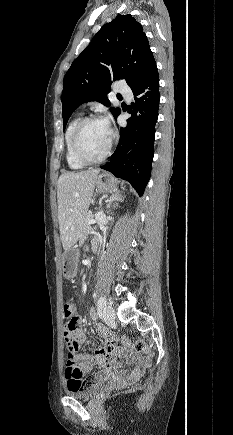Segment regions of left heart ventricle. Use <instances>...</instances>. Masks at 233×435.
Returning <instances> with one entry per match:
<instances>
[{"mask_svg": "<svg viewBox=\"0 0 233 435\" xmlns=\"http://www.w3.org/2000/svg\"><path fill=\"white\" fill-rule=\"evenodd\" d=\"M111 133L103 121L86 125L81 134V142L91 157L101 156L107 149Z\"/></svg>", "mask_w": 233, "mask_h": 435, "instance_id": "1", "label": "left heart ventricle"}]
</instances>
